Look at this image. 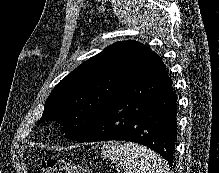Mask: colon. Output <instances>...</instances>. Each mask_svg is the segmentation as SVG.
Listing matches in <instances>:
<instances>
[{
  "instance_id": "obj_1",
  "label": "colon",
  "mask_w": 219,
  "mask_h": 173,
  "mask_svg": "<svg viewBox=\"0 0 219 173\" xmlns=\"http://www.w3.org/2000/svg\"><path fill=\"white\" fill-rule=\"evenodd\" d=\"M37 173H92L85 166H80L63 159L48 158L42 161Z\"/></svg>"
}]
</instances>
